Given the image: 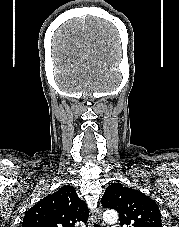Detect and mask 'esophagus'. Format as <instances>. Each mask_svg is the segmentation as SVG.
<instances>
[{"instance_id":"1","label":"esophagus","mask_w":179,"mask_h":227,"mask_svg":"<svg viewBox=\"0 0 179 227\" xmlns=\"http://www.w3.org/2000/svg\"><path fill=\"white\" fill-rule=\"evenodd\" d=\"M95 218H96V222H97L99 225L104 226V221H103V219H102V211H101L100 208H98V209L96 210V216H95Z\"/></svg>"}]
</instances>
